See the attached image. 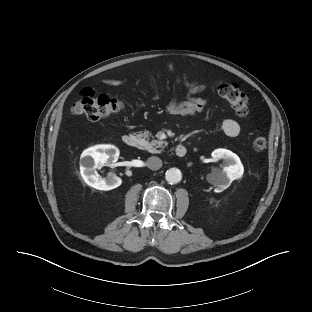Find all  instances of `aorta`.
Instances as JSON below:
<instances>
[{"label":"aorta","mask_w":312,"mask_h":312,"mask_svg":"<svg viewBox=\"0 0 312 312\" xmlns=\"http://www.w3.org/2000/svg\"><path fill=\"white\" fill-rule=\"evenodd\" d=\"M165 179L170 184H177L182 179V173L178 168H170L165 173Z\"/></svg>","instance_id":"aorta-1"}]
</instances>
